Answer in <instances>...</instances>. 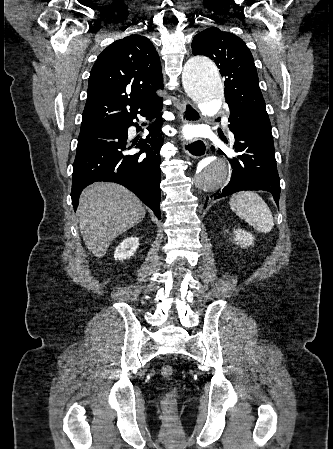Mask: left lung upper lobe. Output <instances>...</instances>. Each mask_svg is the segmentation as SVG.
Returning <instances> with one entry per match:
<instances>
[{
    "instance_id": "obj_1",
    "label": "left lung upper lobe",
    "mask_w": 333,
    "mask_h": 449,
    "mask_svg": "<svg viewBox=\"0 0 333 449\" xmlns=\"http://www.w3.org/2000/svg\"><path fill=\"white\" fill-rule=\"evenodd\" d=\"M191 46L194 55L208 56L220 69L230 111L271 127L254 59L245 42L232 33L211 27L195 35Z\"/></svg>"
}]
</instances>
